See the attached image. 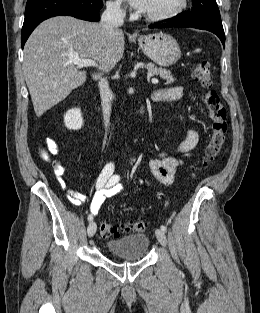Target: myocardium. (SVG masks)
<instances>
[{
    "mask_svg": "<svg viewBox=\"0 0 260 313\" xmlns=\"http://www.w3.org/2000/svg\"><path fill=\"white\" fill-rule=\"evenodd\" d=\"M187 5H188V0H179L176 7H174L173 9H171L165 13H161V14L144 13V17L147 20L153 21V22L167 21V20L173 19V18L177 17L178 15H180L181 13H183L184 10L187 8Z\"/></svg>",
    "mask_w": 260,
    "mask_h": 313,
    "instance_id": "obj_1",
    "label": "myocardium"
}]
</instances>
